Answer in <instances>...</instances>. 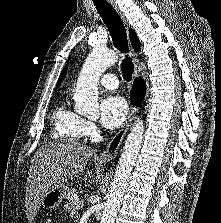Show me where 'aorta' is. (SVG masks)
<instances>
[{"label": "aorta", "mask_w": 221, "mask_h": 223, "mask_svg": "<svg viewBox=\"0 0 221 223\" xmlns=\"http://www.w3.org/2000/svg\"><path fill=\"white\" fill-rule=\"evenodd\" d=\"M118 61V55L112 50L95 48L85 60L78 77L74 92L75 111L79 114L95 117L99 113L98 81L102 73ZM144 123L137 119L127 136L119 159L113 183L109 190L100 223H114L128 186L131 172L143 140Z\"/></svg>", "instance_id": "762f6f07"}]
</instances>
